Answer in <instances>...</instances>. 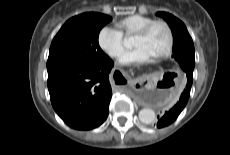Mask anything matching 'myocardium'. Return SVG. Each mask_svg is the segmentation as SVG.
Returning <instances> with one entry per match:
<instances>
[{
  "label": "myocardium",
  "instance_id": "obj_1",
  "mask_svg": "<svg viewBox=\"0 0 230 155\" xmlns=\"http://www.w3.org/2000/svg\"><path fill=\"white\" fill-rule=\"evenodd\" d=\"M157 25H162L168 33V43L166 48L161 53H159L154 57L155 59L158 60L169 56L174 48L175 37H174L173 29L170 26V24L165 20H154L149 24H147L146 26H144L141 30H139L135 34V36H140V37L147 36L150 33V31Z\"/></svg>",
  "mask_w": 230,
  "mask_h": 155
}]
</instances>
